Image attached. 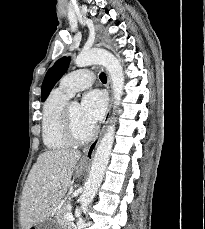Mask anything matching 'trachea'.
Returning <instances> with one entry per match:
<instances>
[{"label":"trachea","mask_w":205,"mask_h":229,"mask_svg":"<svg viewBox=\"0 0 205 229\" xmlns=\"http://www.w3.org/2000/svg\"><path fill=\"white\" fill-rule=\"evenodd\" d=\"M100 80H101V82H103V83H106L107 82V77H106V75H105V73H101L100 74Z\"/></svg>","instance_id":"obj_1"}]
</instances>
